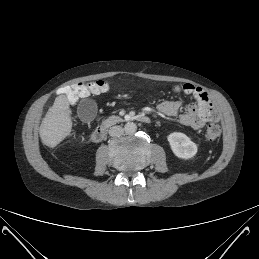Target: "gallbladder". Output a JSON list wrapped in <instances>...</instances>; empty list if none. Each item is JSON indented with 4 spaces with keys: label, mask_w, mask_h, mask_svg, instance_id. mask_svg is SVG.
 I'll list each match as a JSON object with an SVG mask.
<instances>
[{
    "label": "gallbladder",
    "mask_w": 259,
    "mask_h": 259,
    "mask_svg": "<svg viewBox=\"0 0 259 259\" xmlns=\"http://www.w3.org/2000/svg\"><path fill=\"white\" fill-rule=\"evenodd\" d=\"M79 115L85 121H90L95 116V102L84 100L79 104Z\"/></svg>",
    "instance_id": "bac80fb5"
}]
</instances>
